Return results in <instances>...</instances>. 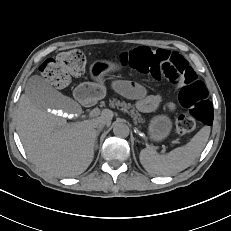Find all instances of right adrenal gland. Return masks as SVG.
I'll return each mask as SVG.
<instances>
[{
  "label": "right adrenal gland",
  "instance_id": "right-adrenal-gland-1",
  "mask_svg": "<svg viewBox=\"0 0 231 231\" xmlns=\"http://www.w3.org/2000/svg\"><path fill=\"white\" fill-rule=\"evenodd\" d=\"M100 132H101V129H98L96 132L95 149L98 148V136H99Z\"/></svg>",
  "mask_w": 231,
  "mask_h": 231
}]
</instances>
